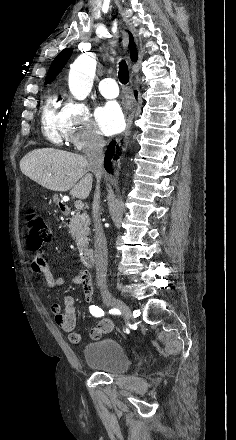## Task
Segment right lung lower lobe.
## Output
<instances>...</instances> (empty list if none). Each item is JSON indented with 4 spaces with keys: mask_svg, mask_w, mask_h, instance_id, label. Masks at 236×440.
<instances>
[{
    "mask_svg": "<svg viewBox=\"0 0 236 440\" xmlns=\"http://www.w3.org/2000/svg\"><path fill=\"white\" fill-rule=\"evenodd\" d=\"M115 147H116V142L115 141L110 142L105 155L104 167L108 172H111V159L112 158L117 159L118 151L115 154Z\"/></svg>",
    "mask_w": 236,
    "mask_h": 440,
    "instance_id": "98d812e1",
    "label": "right lung lower lobe"
}]
</instances>
